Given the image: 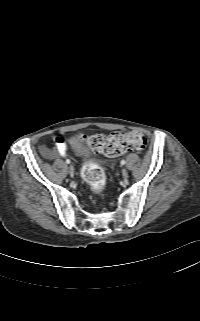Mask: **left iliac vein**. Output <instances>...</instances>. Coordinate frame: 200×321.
Instances as JSON below:
<instances>
[{
  "mask_svg": "<svg viewBox=\"0 0 200 321\" xmlns=\"http://www.w3.org/2000/svg\"><path fill=\"white\" fill-rule=\"evenodd\" d=\"M122 176L125 180L128 178V172L125 168L122 169Z\"/></svg>",
  "mask_w": 200,
  "mask_h": 321,
  "instance_id": "obj_1",
  "label": "left iliac vein"
}]
</instances>
